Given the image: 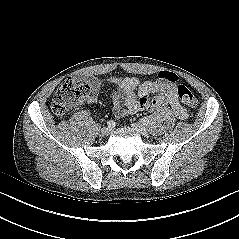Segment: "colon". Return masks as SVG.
I'll return each instance as SVG.
<instances>
[{"mask_svg":"<svg viewBox=\"0 0 239 239\" xmlns=\"http://www.w3.org/2000/svg\"><path fill=\"white\" fill-rule=\"evenodd\" d=\"M158 77L175 84L178 76L169 71L160 72ZM88 88L82 82L73 78L65 79L57 88L51 103L53 113L58 117L65 116L72 108L83 104L88 97ZM177 96L188 107H196V96L185 85H178Z\"/></svg>","mask_w":239,"mask_h":239,"instance_id":"5ec220e1","label":"colon"}]
</instances>
